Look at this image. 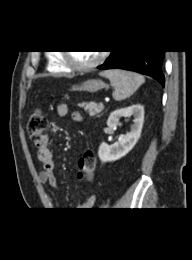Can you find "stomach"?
Listing matches in <instances>:
<instances>
[{"mask_svg":"<svg viewBox=\"0 0 192 260\" xmlns=\"http://www.w3.org/2000/svg\"><path fill=\"white\" fill-rule=\"evenodd\" d=\"M105 87H106V84L104 82H102L101 80L89 79L80 85L72 86L71 90L72 91H86V92L94 93Z\"/></svg>","mask_w":192,"mask_h":260,"instance_id":"obj_1","label":"stomach"}]
</instances>
